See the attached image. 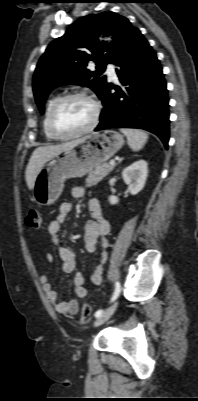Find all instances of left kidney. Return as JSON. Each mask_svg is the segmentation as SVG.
<instances>
[{
    "instance_id": "obj_1",
    "label": "left kidney",
    "mask_w": 198,
    "mask_h": 401,
    "mask_svg": "<svg viewBox=\"0 0 198 401\" xmlns=\"http://www.w3.org/2000/svg\"><path fill=\"white\" fill-rule=\"evenodd\" d=\"M148 176L147 162L139 160L125 168L122 172L124 182L128 185L131 195L138 194L144 187ZM118 198L114 195L109 197L110 204L118 203Z\"/></svg>"
}]
</instances>
